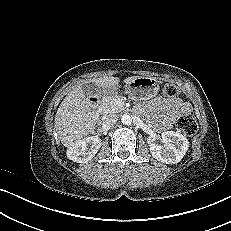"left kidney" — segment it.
Here are the masks:
<instances>
[{
    "mask_svg": "<svg viewBox=\"0 0 231 231\" xmlns=\"http://www.w3.org/2000/svg\"><path fill=\"white\" fill-rule=\"evenodd\" d=\"M164 145L149 143L152 156L166 164H175L181 161L188 150V139L174 131H165L161 135Z\"/></svg>",
    "mask_w": 231,
    "mask_h": 231,
    "instance_id": "obj_1",
    "label": "left kidney"
}]
</instances>
